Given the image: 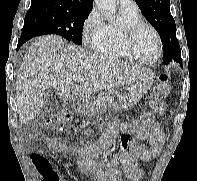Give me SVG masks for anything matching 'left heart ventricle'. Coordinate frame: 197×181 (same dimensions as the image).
Returning a JSON list of instances; mask_svg holds the SVG:
<instances>
[{"mask_svg": "<svg viewBox=\"0 0 197 181\" xmlns=\"http://www.w3.org/2000/svg\"><path fill=\"white\" fill-rule=\"evenodd\" d=\"M137 54L143 59H153L158 53L157 39L148 28H142L134 42Z\"/></svg>", "mask_w": 197, "mask_h": 181, "instance_id": "b2bd125f", "label": "left heart ventricle"}]
</instances>
